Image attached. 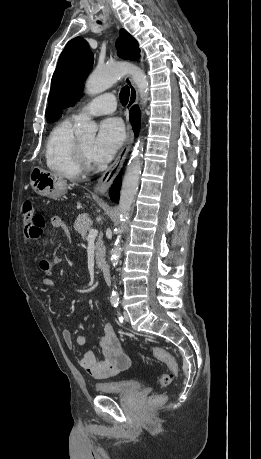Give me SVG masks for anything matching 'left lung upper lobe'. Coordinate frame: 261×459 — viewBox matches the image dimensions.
Masks as SVG:
<instances>
[{
  "label": "left lung upper lobe",
  "instance_id": "left-lung-upper-lobe-1",
  "mask_svg": "<svg viewBox=\"0 0 261 459\" xmlns=\"http://www.w3.org/2000/svg\"><path fill=\"white\" fill-rule=\"evenodd\" d=\"M118 56L123 59L138 60L140 51L135 39L124 29L120 30L116 42ZM93 63V55L88 43L81 37L68 42L59 58L52 77L46 119L54 122L60 118L63 108L75 105L82 95L83 82Z\"/></svg>",
  "mask_w": 261,
  "mask_h": 459
}]
</instances>
